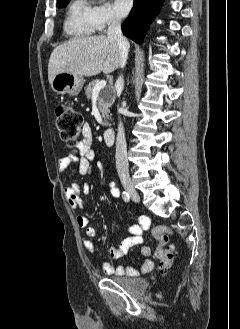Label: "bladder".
I'll use <instances>...</instances> for the list:
<instances>
[{"label": "bladder", "mask_w": 240, "mask_h": 329, "mask_svg": "<svg viewBox=\"0 0 240 329\" xmlns=\"http://www.w3.org/2000/svg\"><path fill=\"white\" fill-rule=\"evenodd\" d=\"M113 280L121 287L132 291L144 292L148 287V282L142 278L116 277Z\"/></svg>", "instance_id": "obj_1"}]
</instances>
